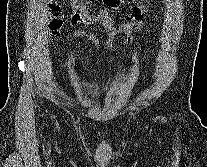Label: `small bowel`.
<instances>
[{
  "mask_svg": "<svg viewBox=\"0 0 207 167\" xmlns=\"http://www.w3.org/2000/svg\"><path fill=\"white\" fill-rule=\"evenodd\" d=\"M74 11L72 24L91 25L96 24L107 35L106 48L110 52L114 46V37L123 33L126 35L125 44L133 42V34L143 26V14L148 11L147 1H142L133 6L128 12V20L117 23L111 16V11L120 10L121 0H103L105 9L96 15L89 13L87 0H69ZM73 37H86L95 47H98V39L89 32L77 31Z\"/></svg>",
  "mask_w": 207,
  "mask_h": 167,
  "instance_id": "1",
  "label": "small bowel"
}]
</instances>
